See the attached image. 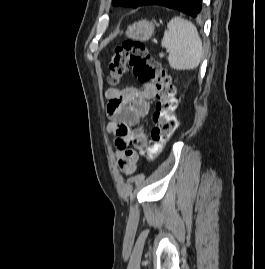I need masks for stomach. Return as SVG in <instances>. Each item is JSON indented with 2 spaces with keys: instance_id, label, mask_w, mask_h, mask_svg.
Here are the masks:
<instances>
[{
  "instance_id": "obj_1",
  "label": "stomach",
  "mask_w": 265,
  "mask_h": 269,
  "mask_svg": "<svg viewBox=\"0 0 265 269\" xmlns=\"http://www.w3.org/2000/svg\"><path fill=\"white\" fill-rule=\"evenodd\" d=\"M155 30V26L148 20H140L129 25L126 30V36L139 41L149 40Z\"/></svg>"
}]
</instances>
